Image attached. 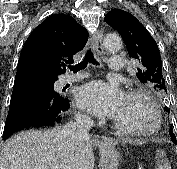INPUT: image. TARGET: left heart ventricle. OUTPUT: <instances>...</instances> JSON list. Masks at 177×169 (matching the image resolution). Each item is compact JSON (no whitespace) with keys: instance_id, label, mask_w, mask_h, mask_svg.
<instances>
[{"instance_id":"obj_1","label":"left heart ventricle","mask_w":177,"mask_h":169,"mask_svg":"<svg viewBox=\"0 0 177 169\" xmlns=\"http://www.w3.org/2000/svg\"><path fill=\"white\" fill-rule=\"evenodd\" d=\"M113 119L131 130L147 129L153 125V115L146 104L141 99L126 96Z\"/></svg>"}]
</instances>
